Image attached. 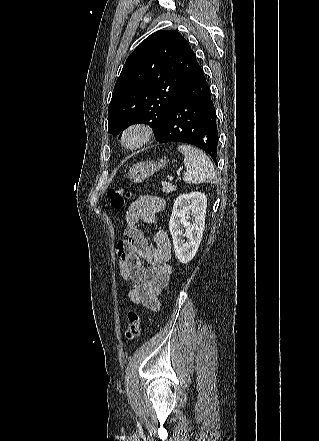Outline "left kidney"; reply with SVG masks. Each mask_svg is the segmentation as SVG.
Listing matches in <instances>:
<instances>
[{
  "instance_id": "left-kidney-1",
  "label": "left kidney",
  "mask_w": 319,
  "mask_h": 441,
  "mask_svg": "<svg viewBox=\"0 0 319 441\" xmlns=\"http://www.w3.org/2000/svg\"><path fill=\"white\" fill-rule=\"evenodd\" d=\"M206 206L207 198L200 192L179 195L174 202L169 230L176 257L181 263L191 261L198 250L204 231Z\"/></svg>"
}]
</instances>
